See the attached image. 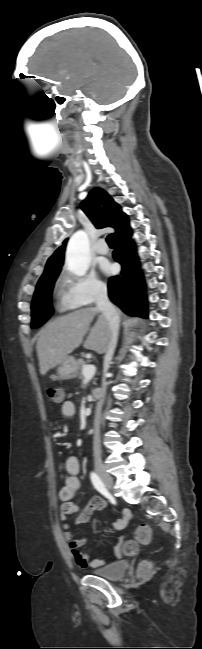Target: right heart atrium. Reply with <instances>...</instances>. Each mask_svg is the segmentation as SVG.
Listing matches in <instances>:
<instances>
[{
    "label": "right heart atrium",
    "instance_id": "1",
    "mask_svg": "<svg viewBox=\"0 0 202 649\" xmlns=\"http://www.w3.org/2000/svg\"><path fill=\"white\" fill-rule=\"evenodd\" d=\"M60 283L59 307L65 310L89 306L106 293V284L92 273L75 275L65 271Z\"/></svg>",
    "mask_w": 202,
    "mask_h": 649
}]
</instances>
